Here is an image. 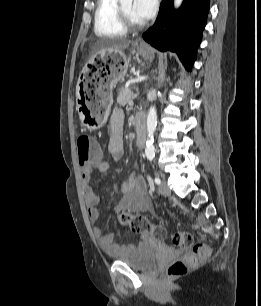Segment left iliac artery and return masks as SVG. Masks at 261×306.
Returning a JSON list of instances; mask_svg holds the SVG:
<instances>
[{"mask_svg": "<svg viewBox=\"0 0 261 306\" xmlns=\"http://www.w3.org/2000/svg\"><path fill=\"white\" fill-rule=\"evenodd\" d=\"M150 160H151V158H150ZM154 182H155L156 184H160V183H161V180H160L159 177H155Z\"/></svg>", "mask_w": 261, "mask_h": 306, "instance_id": "44dca946", "label": "left iliac artery"}]
</instances>
